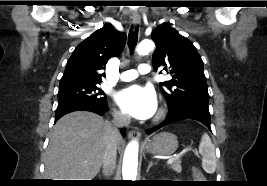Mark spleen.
I'll return each instance as SVG.
<instances>
[{"label": "spleen", "mask_w": 267, "mask_h": 186, "mask_svg": "<svg viewBox=\"0 0 267 186\" xmlns=\"http://www.w3.org/2000/svg\"><path fill=\"white\" fill-rule=\"evenodd\" d=\"M199 153L202 156V167L208 173L216 169L215 147L207 133H204L199 145Z\"/></svg>", "instance_id": "3e777b00"}]
</instances>
